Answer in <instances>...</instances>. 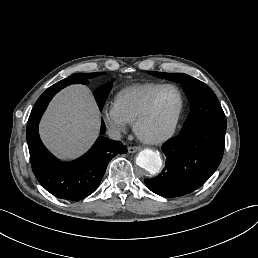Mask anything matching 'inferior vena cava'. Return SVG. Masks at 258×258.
I'll list each match as a JSON object with an SVG mask.
<instances>
[{
    "mask_svg": "<svg viewBox=\"0 0 258 258\" xmlns=\"http://www.w3.org/2000/svg\"><path fill=\"white\" fill-rule=\"evenodd\" d=\"M108 135L111 139L120 140L121 139V132L116 128H109Z\"/></svg>",
    "mask_w": 258,
    "mask_h": 258,
    "instance_id": "602c4592",
    "label": "inferior vena cava"
}]
</instances>
